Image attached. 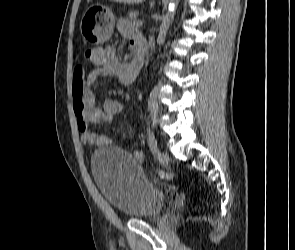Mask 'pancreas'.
<instances>
[{"instance_id": "cf45deb5", "label": "pancreas", "mask_w": 295, "mask_h": 250, "mask_svg": "<svg viewBox=\"0 0 295 250\" xmlns=\"http://www.w3.org/2000/svg\"><path fill=\"white\" fill-rule=\"evenodd\" d=\"M139 15V12L138 11H131L129 12L128 14V18L133 21V25H135V22H136V18L137 16Z\"/></svg>"}]
</instances>
